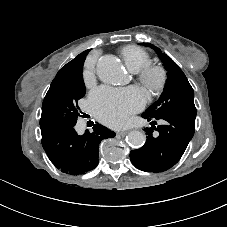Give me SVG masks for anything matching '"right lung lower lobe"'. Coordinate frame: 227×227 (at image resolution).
<instances>
[{
  "instance_id": "obj_1",
  "label": "right lung lower lobe",
  "mask_w": 227,
  "mask_h": 227,
  "mask_svg": "<svg viewBox=\"0 0 227 227\" xmlns=\"http://www.w3.org/2000/svg\"><path fill=\"white\" fill-rule=\"evenodd\" d=\"M75 125L57 126L42 134V146L55 167L70 175L84 174L98 165L99 143L116 134L101 124L78 135Z\"/></svg>"
}]
</instances>
